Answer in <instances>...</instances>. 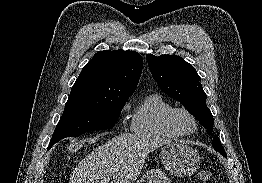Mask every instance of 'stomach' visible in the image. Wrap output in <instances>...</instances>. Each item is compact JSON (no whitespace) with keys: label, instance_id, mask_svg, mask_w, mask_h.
Segmentation results:
<instances>
[{"label":"stomach","instance_id":"1","mask_svg":"<svg viewBox=\"0 0 262 183\" xmlns=\"http://www.w3.org/2000/svg\"><path fill=\"white\" fill-rule=\"evenodd\" d=\"M160 157L165 170L175 176L193 175L200 165V156L193 148L178 142L168 141L162 147ZM136 183H171L161 170L146 172Z\"/></svg>","mask_w":262,"mask_h":183}]
</instances>
